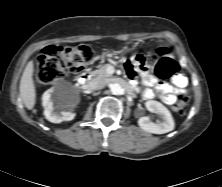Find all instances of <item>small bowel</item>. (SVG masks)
<instances>
[{
    "instance_id": "obj_1",
    "label": "small bowel",
    "mask_w": 222,
    "mask_h": 187,
    "mask_svg": "<svg viewBox=\"0 0 222 187\" xmlns=\"http://www.w3.org/2000/svg\"><path fill=\"white\" fill-rule=\"evenodd\" d=\"M126 73L129 79H135L136 71L132 61H128L126 63ZM144 83L150 87L142 92V97L144 99L159 98L163 103L167 105H173L177 101L178 95L185 92L188 80L184 75L177 74L173 78V84H169L165 82H159L153 76L145 75Z\"/></svg>"
}]
</instances>
